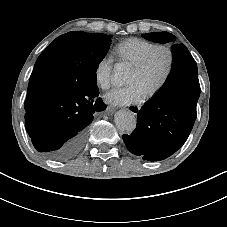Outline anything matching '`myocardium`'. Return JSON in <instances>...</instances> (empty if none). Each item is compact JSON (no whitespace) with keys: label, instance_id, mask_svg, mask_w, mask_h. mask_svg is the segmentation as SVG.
Instances as JSON below:
<instances>
[{"label":"myocardium","instance_id":"obj_1","mask_svg":"<svg viewBox=\"0 0 227 227\" xmlns=\"http://www.w3.org/2000/svg\"><path fill=\"white\" fill-rule=\"evenodd\" d=\"M158 53H163L166 56V68L161 80L147 92V95L150 97H153L162 91L172 75L175 64L173 49L168 45H155L135 66H133L134 72L141 73L145 71Z\"/></svg>","mask_w":227,"mask_h":227}]
</instances>
